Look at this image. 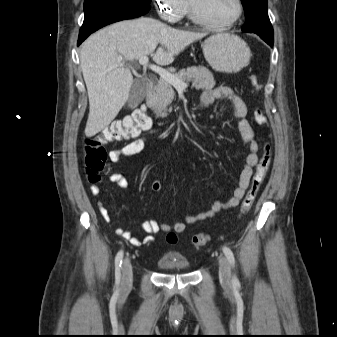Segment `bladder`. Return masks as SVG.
Instances as JSON below:
<instances>
[{
  "label": "bladder",
  "mask_w": 337,
  "mask_h": 337,
  "mask_svg": "<svg viewBox=\"0 0 337 337\" xmlns=\"http://www.w3.org/2000/svg\"><path fill=\"white\" fill-rule=\"evenodd\" d=\"M158 267L165 273H183L189 269V263L183 256L166 253L158 260Z\"/></svg>",
  "instance_id": "1"
}]
</instances>
